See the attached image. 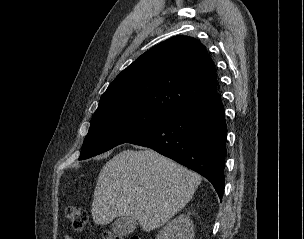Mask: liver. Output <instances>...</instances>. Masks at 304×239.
<instances>
[{"instance_id":"6515ba94","label":"liver","mask_w":304,"mask_h":239,"mask_svg":"<svg viewBox=\"0 0 304 239\" xmlns=\"http://www.w3.org/2000/svg\"><path fill=\"white\" fill-rule=\"evenodd\" d=\"M202 177L152 149L123 150L98 175L92 203L96 224L132 216L146 232L165 224L192 198Z\"/></svg>"}]
</instances>
